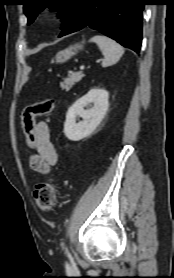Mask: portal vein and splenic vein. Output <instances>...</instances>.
<instances>
[{
  "mask_svg": "<svg viewBox=\"0 0 174 278\" xmlns=\"http://www.w3.org/2000/svg\"><path fill=\"white\" fill-rule=\"evenodd\" d=\"M100 61H101V59L97 60V62H100ZM84 69H85L84 65L80 66V70H84Z\"/></svg>",
  "mask_w": 174,
  "mask_h": 278,
  "instance_id": "18ae733b",
  "label": "portal vein and splenic vein"
}]
</instances>
